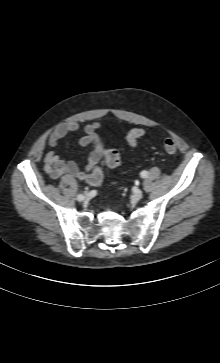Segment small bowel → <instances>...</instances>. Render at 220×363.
<instances>
[{
	"instance_id": "obj_1",
	"label": "small bowel",
	"mask_w": 220,
	"mask_h": 363,
	"mask_svg": "<svg viewBox=\"0 0 220 363\" xmlns=\"http://www.w3.org/2000/svg\"><path fill=\"white\" fill-rule=\"evenodd\" d=\"M100 127L99 123L87 124L84 127L85 136L81 138L80 145H94L93 151L89 155L88 163L82 170L74 161H65L60 158L55 149L58 142L69 134L76 132L79 128L76 122H67L59 125L50 135L48 140L49 150L44 158V171L51 179H57L62 175L87 180L89 174L95 168H100L104 163V151L100 140L96 134V130Z\"/></svg>"
}]
</instances>
